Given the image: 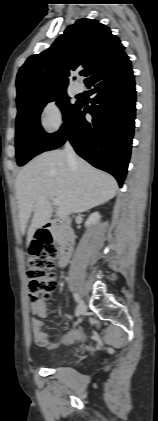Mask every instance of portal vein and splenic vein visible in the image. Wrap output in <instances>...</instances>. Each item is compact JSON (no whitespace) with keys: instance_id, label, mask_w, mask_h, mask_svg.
Returning a JSON list of instances; mask_svg holds the SVG:
<instances>
[{"instance_id":"18ae733b","label":"portal vein and splenic vein","mask_w":158,"mask_h":421,"mask_svg":"<svg viewBox=\"0 0 158 421\" xmlns=\"http://www.w3.org/2000/svg\"><path fill=\"white\" fill-rule=\"evenodd\" d=\"M50 199L52 200V202H53V204H54L55 206H59L60 202H59V200H58V199H56V198H54V197H52V196H50Z\"/></svg>"}]
</instances>
